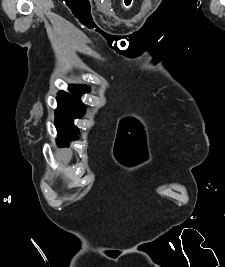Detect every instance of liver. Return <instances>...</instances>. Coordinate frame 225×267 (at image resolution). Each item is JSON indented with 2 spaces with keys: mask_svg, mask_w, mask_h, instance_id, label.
I'll list each match as a JSON object with an SVG mask.
<instances>
[{
  "mask_svg": "<svg viewBox=\"0 0 225 267\" xmlns=\"http://www.w3.org/2000/svg\"><path fill=\"white\" fill-rule=\"evenodd\" d=\"M72 156V152L70 149H65L61 152L56 153V157L58 158L59 161H61L64 164H68Z\"/></svg>",
  "mask_w": 225,
  "mask_h": 267,
  "instance_id": "6515ba94",
  "label": "liver"
}]
</instances>
